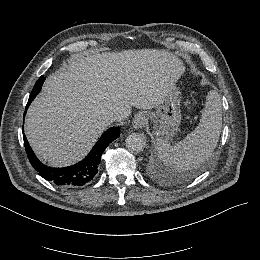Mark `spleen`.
Returning a JSON list of instances; mask_svg holds the SVG:
<instances>
[{"instance_id":"3e777b00","label":"spleen","mask_w":260,"mask_h":260,"mask_svg":"<svg viewBox=\"0 0 260 260\" xmlns=\"http://www.w3.org/2000/svg\"><path fill=\"white\" fill-rule=\"evenodd\" d=\"M221 127L220 96L218 92L211 90L207 94L199 125L174 146H171L166 139L157 138V156L166 166H173L178 171L197 168L216 148Z\"/></svg>"}]
</instances>
